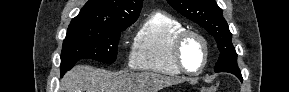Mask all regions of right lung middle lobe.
Wrapping results in <instances>:
<instances>
[{"instance_id": "obj_1", "label": "right lung middle lobe", "mask_w": 289, "mask_h": 92, "mask_svg": "<svg viewBox=\"0 0 289 92\" xmlns=\"http://www.w3.org/2000/svg\"><path fill=\"white\" fill-rule=\"evenodd\" d=\"M130 25H69L61 53V75L82 59H94L103 63L116 61L121 31Z\"/></svg>"}]
</instances>
